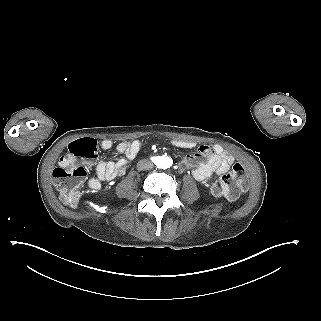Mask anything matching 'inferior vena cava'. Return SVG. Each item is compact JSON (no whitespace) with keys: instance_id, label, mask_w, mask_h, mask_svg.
Segmentation results:
<instances>
[{"instance_id":"inferior-vena-cava-1","label":"inferior vena cava","mask_w":321,"mask_h":321,"mask_svg":"<svg viewBox=\"0 0 321 321\" xmlns=\"http://www.w3.org/2000/svg\"><path fill=\"white\" fill-rule=\"evenodd\" d=\"M138 170H150L153 168V163L148 160H140L137 163Z\"/></svg>"}]
</instances>
